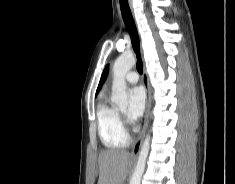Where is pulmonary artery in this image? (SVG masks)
Wrapping results in <instances>:
<instances>
[{
    "label": "pulmonary artery",
    "instance_id": "1",
    "mask_svg": "<svg viewBox=\"0 0 235 184\" xmlns=\"http://www.w3.org/2000/svg\"><path fill=\"white\" fill-rule=\"evenodd\" d=\"M124 79L129 84H136L139 80V75L137 72L130 71L125 74Z\"/></svg>",
    "mask_w": 235,
    "mask_h": 184
}]
</instances>
